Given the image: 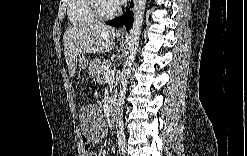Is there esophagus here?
Returning a JSON list of instances; mask_svg holds the SVG:
<instances>
[{"mask_svg": "<svg viewBox=\"0 0 247 156\" xmlns=\"http://www.w3.org/2000/svg\"><path fill=\"white\" fill-rule=\"evenodd\" d=\"M125 32H126L125 26H122L118 29V33H125Z\"/></svg>", "mask_w": 247, "mask_h": 156, "instance_id": "esophagus-1", "label": "esophagus"}]
</instances>
